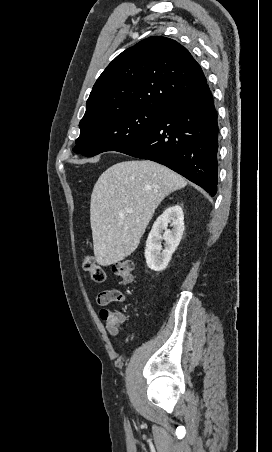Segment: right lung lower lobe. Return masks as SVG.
Wrapping results in <instances>:
<instances>
[{"mask_svg":"<svg viewBox=\"0 0 272 452\" xmlns=\"http://www.w3.org/2000/svg\"><path fill=\"white\" fill-rule=\"evenodd\" d=\"M117 151L163 164L214 197L218 174V123L208 84L164 109L142 136Z\"/></svg>","mask_w":272,"mask_h":452,"instance_id":"right-lung-lower-lobe-1","label":"right lung lower lobe"}]
</instances>
